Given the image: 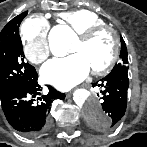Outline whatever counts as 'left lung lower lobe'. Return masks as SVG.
<instances>
[{"mask_svg": "<svg viewBox=\"0 0 147 147\" xmlns=\"http://www.w3.org/2000/svg\"><path fill=\"white\" fill-rule=\"evenodd\" d=\"M92 86L103 87L102 108L107 114V120L90 122L101 131L114 129L125 114L127 106V91L129 87L128 68H122L110 73Z\"/></svg>", "mask_w": 147, "mask_h": 147, "instance_id": "0a47b994", "label": "left lung lower lobe"}]
</instances>
